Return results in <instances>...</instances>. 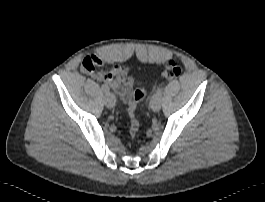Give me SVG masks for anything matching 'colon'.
<instances>
[{"label": "colon", "instance_id": "1", "mask_svg": "<svg viewBox=\"0 0 265 202\" xmlns=\"http://www.w3.org/2000/svg\"><path fill=\"white\" fill-rule=\"evenodd\" d=\"M181 73L180 66L175 62H169L163 71V77L168 80L177 78ZM145 97V91L143 89L136 90L133 95V102L129 108V134L131 137H135L139 130V122L136 115L137 104L141 102Z\"/></svg>", "mask_w": 265, "mask_h": 202}]
</instances>
